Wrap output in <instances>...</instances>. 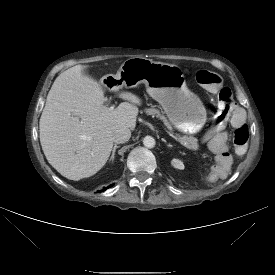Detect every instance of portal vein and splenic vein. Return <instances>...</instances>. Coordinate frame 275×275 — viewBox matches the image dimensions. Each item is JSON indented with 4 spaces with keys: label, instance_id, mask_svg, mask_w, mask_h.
I'll list each match as a JSON object with an SVG mask.
<instances>
[{
    "label": "portal vein and splenic vein",
    "instance_id": "portal-vein-and-splenic-vein-1",
    "mask_svg": "<svg viewBox=\"0 0 275 275\" xmlns=\"http://www.w3.org/2000/svg\"><path fill=\"white\" fill-rule=\"evenodd\" d=\"M110 109H113V107H110ZM166 132H167L172 138H174L175 140L180 141V139H179L178 137H176L175 135H173V134L170 133L169 131L166 130Z\"/></svg>",
    "mask_w": 275,
    "mask_h": 275
}]
</instances>
